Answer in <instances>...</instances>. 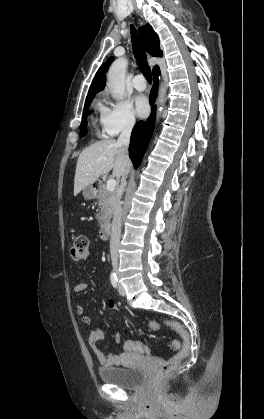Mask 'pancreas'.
I'll use <instances>...</instances> for the list:
<instances>
[{
	"label": "pancreas",
	"mask_w": 264,
	"mask_h": 419,
	"mask_svg": "<svg viewBox=\"0 0 264 419\" xmlns=\"http://www.w3.org/2000/svg\"><path fill=\"white\" fill-rule=\"evenodd\" d=\"M116 201L117 193L111 192L107 189L105 185H101L98 196V205L100 211L96 216L101 227L105 226L110 222L112 214L114 212Z\"/></svg>",
	"instance_id": "1"
}]
</instances>
